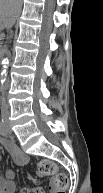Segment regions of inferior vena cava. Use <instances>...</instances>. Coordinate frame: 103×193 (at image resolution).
<instances>
[{
  "instance_id": "inferior-vena-cava-1",
  "label": "inferior vena cava",
  "mask_w": 103,
  "mask_h": 193,
  "mask_svg": "<svg viewBox=\"0 0 103 193\" xmlns=\"http://www.w3.org/2000/svg\"><path fill=\"white\" fill-rule=\"evenodd\" d=\"M7 89H8V83H4V84L2 85V94H3V100H2V104H3V107H2V116H4V117H7V116L9 115V107H8V104H7V101H6V98H5Z\"/></svg>"
}]
</instances>
